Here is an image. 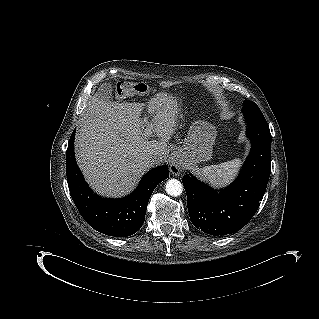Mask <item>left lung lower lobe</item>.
I'll return each mask as SVG.
<instances>
[{
  "instance_id": "left-lung-lower-lobe-1",
  "label": "left lung lower lobe",
  "mask_w": 319,
  "mask_h": 319,
  "mask_svg": "<svg viewBox=\"0 0 319 319\" xmlns=\"http://www.w3.org/2000/svg\"><path fill=\"white\" fill-rule=\"evenodd\" d=\"M252 147L233 184L221 193L191 174L183 177L190 219L197 229L210 235H227L244 227L256 213L271 172L269 129L248 127Z\"/></svg>"
}]
</instances>
